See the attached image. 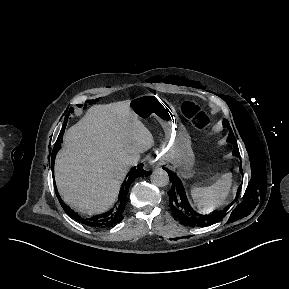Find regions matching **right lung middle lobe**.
Wrapping results in <instances>:
<instances>
[{
  "mask_svg": "<svg viewBox=\"0 0 289 289\" xmlns=\"http://www.w3.org/2000/svg\"><path fill=\"white\" fill-rule=\"evenodd\" d=\"M70 110H72V108H71ZM71 112H73V111H71ZM67 118H68V116L65 118V122H66ZM65 122H64V123H65Z\"/></svg>",
  "mask_w": 289,
  "mask_h": 289,
  "instance_id": "obj_1",
  "label": "right lung middle lobe"
}]
</instances>
